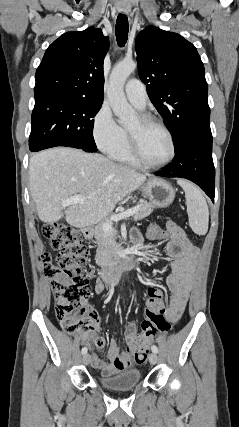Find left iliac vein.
<instances>
[{"label": "left iliac vein", "mask_w": 239, "mask_h": 427, "mask_svg": "<svg viewBox=\"0 0 239 427\" xmlns=\"http://www.w3.org/2000/svg\"><path fill=\"white\" fill-rule=\"evenodd\" d=\"M157 360H158L157 354H156V353H154V352H152V353L149 355V362H150L152 365H154V364H156V363H157Z\"/></svg>", "instance_id": "left-iliac-vein-1"}]
</instances>
